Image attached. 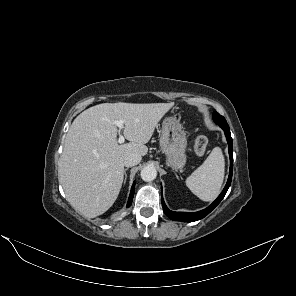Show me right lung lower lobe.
Returning <instances> with one entry per match:
<instances>
[{
	"instance_id": "1",
	"label": "right lung lower lobe",
	"mask_w": 296,
	"mask_h": 296,
	"mask_svg": "<svg viewBox=\"0 0 296 296\" xmlns=\"http://www.w3.org/2000/svg\"><path fill=\"white\" fill-rule=\"evenodd\" d=\"M134 190H135V186L133 185L132 189H131L130 196H129V200H128V203H127V207H129L131 205V202H132V199H133V196H134Z\"/></svg>"
}]
</instances>
